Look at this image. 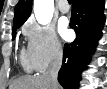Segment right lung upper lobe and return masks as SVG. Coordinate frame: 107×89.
<instances>
[{"instance_id": "cb5924a9", "label": "right lung upper lobe", "mask_w": 107, "mask_h": 89, "mask_svg": "<svg viewBox=\"0 0 107 89\" xmlns=\"http://www.w3.org/2000/svg\"><path fill=\"white\" fill-rule=\"evenodd\" d=\"M32 10V0H19L15 7L13 27L21 26L30 16Z\"/></svg>"}]
</instances>
